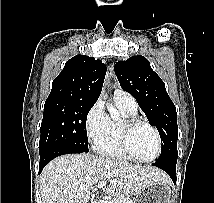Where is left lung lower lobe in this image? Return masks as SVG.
<instances>
[{"instance_id":"1","label":"left lung lower lobe","mask_w":214,"mask_h":203,"mask_svg":"<svg viewBox=\"0 0 214 203\" xmlns=\"http://www.w3.org/2000/svg\"><path fill=\"white\" fill-rule=\"evenodd\" d=\"M176 161H156L153 166L161 168L169 174L174 183H176Z\"/></svg>"}]
</instances>
